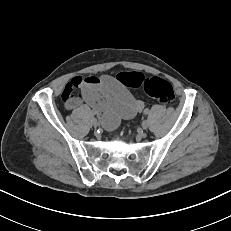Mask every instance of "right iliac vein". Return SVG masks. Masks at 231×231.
Instances as JSON below:
<instances>
[{"instance_id":"right-iliac-vein-1","label":"right iliac vein","mask_w":231,"mask_h":231,"mask_svg":"<svg viewBox=\"0 0 231 231\" xmlns=\"http://www.w3.org/2000/svg\"><path fill=\"white\" fill-rule=\"evenodd\" d=\"M92 125L94 126V127H97L98 126V121L95 119V118H92Z\"/></svg>"}]
</instances>
